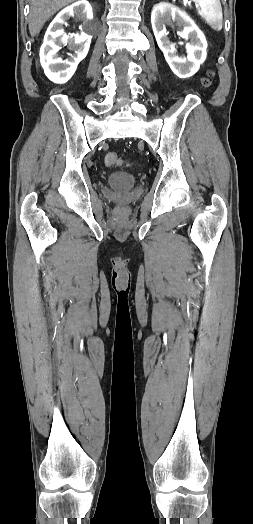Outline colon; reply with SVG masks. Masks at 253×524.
<instances>
[{"mask_svg":"<svg viewBox=\"0 0 253 524\" xmlns=\"http://www.w3.org/2000/svg\"><path fill=\"white\" fill-rule=\"evenodd\" d=\"M213 76L214 74L210 73L209 76L203 80L202 84L204 87H209L212 84ZM104 161L108 167L120 166L122 164L120 156L117 152L114 151L108 152L104 158Z\"/></svg>","mask_w":253,"mask_h":524,"instance_id":"colon-1","label":"colon"}]
</instances>
